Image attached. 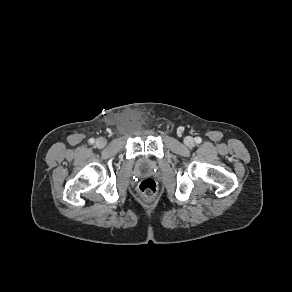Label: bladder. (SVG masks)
I'll use <instances>...</instances> for the list:
<instances>
[{
	"label": "bladder",
	"mask_w": 292,
	"mask_h": 292,
	"mask_svg": "<svg viewBox=\"0 0 292 292\" xmlns=\"http://www.w3.org/2000/svg\"><path fill=\"white\" fill-rule=\"evenodd\" d=\"M136 166L140 172H147L153 169L155 165L149 159L142 157L137 161Z\"/></svg>",
	"instance_id": "bladder-1"
}]
</instances>
